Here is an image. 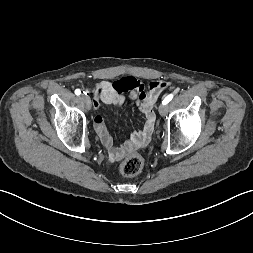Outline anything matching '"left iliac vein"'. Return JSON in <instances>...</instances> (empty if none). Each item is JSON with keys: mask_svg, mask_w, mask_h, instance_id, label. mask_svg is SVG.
I'll use <instances>...</instances> for the list:
<instances>
[{"mask_svg": "<svg viewBox=\"0 0 253 253\" xmlns=\"http://www.w3.org/2000/svg\"><path fill=\"white\" fill-rule=\"evenodd\" d=\"M158 111H159L160 115L165 116L168 112V107L164 104H161L158 108Z\"/></svg>", "mask_w": 253, "mask_h": 253, "instance_id": "4c4485c4", "label": "left iliac vein"}]
</instances>
